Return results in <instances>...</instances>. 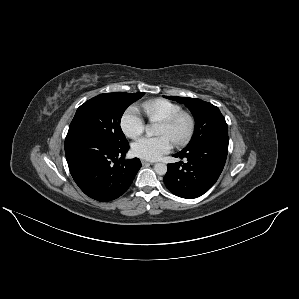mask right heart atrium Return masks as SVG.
<instances>
[{
    "mask_svg": "<svg viewBox=\"0 0 299 299\" xmlns=\"http://www.w3.org/2000/svg\"><path fill=\"white\" fill-rule=\"evenodd\" d=\"M121 128L130 138H137L143 133L145 125L138 108L130 107L126 110L121 118Z\"/></svg>",
    "mask_w": 299,
    "mask_h": 299,
    "instance_id": "right-heart-atrium-1",
    "label": "right heart atrium"
}]
</instances>
